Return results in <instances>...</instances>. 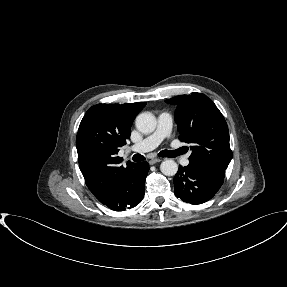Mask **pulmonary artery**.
<instances>
[{
    "label": "pulmonary artery",
    "mask_w": 287,
    "mask_h": 287,
    "mask_svg": "<svg viewBox=\"0 0 287 287\" xmlns=\"http://www.w3.org/2000/svg\"><path fill=\"white\" fill-rule=\"evenodd\" d=\"M172 128V117L168 112H163L158 116L156 130L141 142L131 146V152H148L155 149L164 139L168 138ZM182 165L189 164V155L181 160Z\"/></svg>",
    "instance_id": "obj_1"
}]
</instances>
